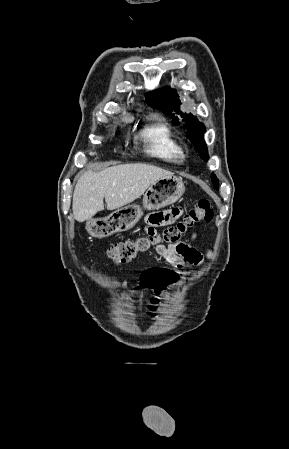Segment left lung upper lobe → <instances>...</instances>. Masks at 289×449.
I'll return each instance as SVG.
<instances>
[{
	"instance_id": "5c2ea615",
	"label": "left lung upper lobe",
	"mask_w": 289,
	"mask_h": 449,
	"mask_svg": "<svg viewBox=\"0 0 289 449\" xmlns=\"http://www.w3.org/2000/svg\"><path fill=\"white\" fill-rule=\"evenodd\" d=\"M146 102L153 108L161 110L166 115L173 118L172 123L183 124L187 130V137L192 141L196 150L199 151L204 161L208 160V151L204 141L205 126L191 113H183L179 108L181 101L176 90L169 87L158 89L147 93ZM212 183L218 188V179L215 174L211 175Z\"/></svg>"
}]
</instances>
